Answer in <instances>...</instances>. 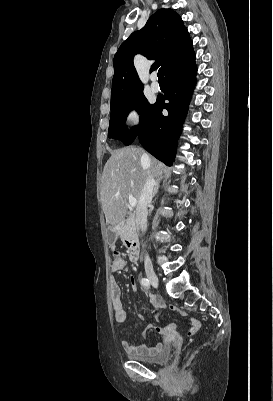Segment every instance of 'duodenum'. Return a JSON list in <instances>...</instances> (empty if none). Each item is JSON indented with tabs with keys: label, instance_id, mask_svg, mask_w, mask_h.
I'll use <instances>...</instances> for the list:
<instances>
[{
	"label": "duodenum",
	"instance_id": "1",
	"mask_svg": "<svg viewBox=\"0 0 273 401\" xmlns=\"http://www.w3.org/2000/svg\"><path fill=\"white\" fill-rule=\"evenodd\" d=\"M127 228V236L125 242L128 246V257L130 261L135 262L138 260L140 255V244L136 232V220L132 214L125 217L123 222ZM118 225L116 228H119Z\"/></svg>",
	"mask_w": 273,
	"mask_h": 401
}]
</instances>
